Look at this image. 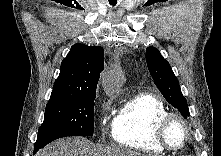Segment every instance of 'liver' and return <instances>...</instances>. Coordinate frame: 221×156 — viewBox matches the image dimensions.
<instances>
[{
  "mask_svg": "<svg viewBox=\"0 0 221 156\" xmlns=\"http://www.w3.org/2000/svg\"><path fill=\"white\" fill-rule=\"evenodd\" d=\"M37 156H144L124 147L95 146L83 137L59 139L44 149Z\"/></svg>",
  "mask_w": 221,
  "mask_h": 156,
  "instance_id": "liver-1",
  "label": "liver"
}]
</instances>
